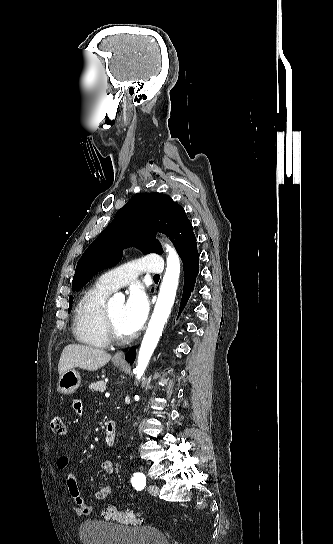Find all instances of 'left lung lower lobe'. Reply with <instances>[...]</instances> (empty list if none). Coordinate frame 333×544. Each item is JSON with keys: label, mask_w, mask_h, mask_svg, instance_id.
I'll use <instances>...</instances> for the list:
<instances>
[{"label": "left lung lower lobe", "mask_w": 333, "mask_h": 544, "mask_svg": "<svg viewBox=\"0 0 333 544\" xmlns=\"http://www.w3.org/2000/svg\"><path fill=\"white\" fill-rule=\"evenodd\" d=\"M183 261V270H184V288H183V296L181 299V305L179 309V314L182 312L184 306L186 305L191 292L193 291V287L196 281L197 274L199 273L198 268V262H199V254L197 251V247L192 249L189 253L186 254V256L182 259ZM136 357V352L134 349L130 350L126 354V360L130 362L131 364L134 362Z\"/></svg>", "instance_id": "obj_1"}]
</instances>
